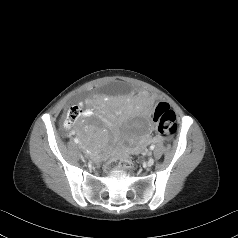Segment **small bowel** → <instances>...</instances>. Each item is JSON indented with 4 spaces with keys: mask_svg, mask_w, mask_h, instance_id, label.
Segmentation results:
<instances>
[{
    "mask_svg": "<svg viewBox=\"0 0 238 238\" xmlns=\"http://www.w3.org/2000/svg\"><path fill=\"white\" fill-rule=\"evenodd\" d=\"M147 107H148L150 113L153 114V111H154L155 107H153V105H152L151 103H148V104H147Z\"/></svg>",
    "mask_w": 238,
    "mask_h": 238,
    "instance_id": "1",
    "label": "small bowel"
}]
</instances>
